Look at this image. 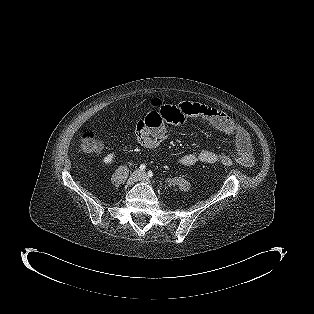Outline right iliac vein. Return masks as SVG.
I'll use <instances>...</instances> for the list:
<instances>
[{"instance_id": "obj_1", "label": "right iliac vein", "mask_w": 314, "mask_h": 314, "mask_svg": "<svg viewBox=\"0 0 314 314\" xmlns=\"http://www.w3.org/2000/svg\"><path fill=\"white\" fill-rule=\"evenodd\" d=\"M140 177V172L139 171H134L130 177L127 180V185L128 186H132L133 184H135L137 182V180Z\"/></svg>"}]
</instances>
